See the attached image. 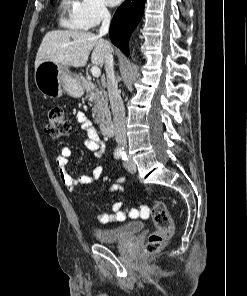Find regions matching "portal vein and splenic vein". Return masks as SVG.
Returning a JSON list of instances; mask_svg holds the SVG:
<instances>
[{"mask_svg":"<svg viewBox=\"0 0 247 296\" xmlns=\"http://www.w3.org/2000/svg\"><path fill=\"white\" fill-rule=\"evenodd\" d=\"M91 73H92V75L94 76V77H99L100 75H101V70H100V68L99 67H97V66H93L92 68H91Z\"/></svg>","mask_w":247,"mask_h":296,"instance_id":"obj_1","label":"portal vein and splenic vein"}]
</instances>
